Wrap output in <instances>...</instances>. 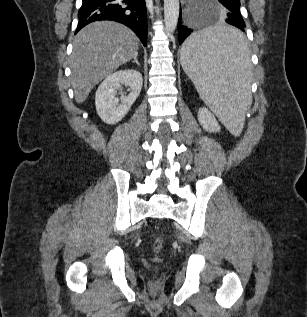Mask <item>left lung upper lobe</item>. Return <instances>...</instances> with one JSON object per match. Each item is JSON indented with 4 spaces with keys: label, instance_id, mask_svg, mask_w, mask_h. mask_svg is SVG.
Segmentation results:
<instances>
[{
    "label": "left lung upper lobe",
    "instance_id": "obj_1",
    "mask_svg": "<svg viewBox=\"0 0 307 317\" xmlns=\"http://www.w3.org/2000/svg\"><path fill=\"white\" fill-rule=\"evenodd\" d=\"M227 4L229 5V9L233 8V10L241 15L240 13V1L239 0H226Z\"/></svg>",
    "mask_w": 307,
    "mask_h": 317
}]
</instances>
